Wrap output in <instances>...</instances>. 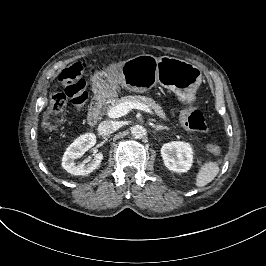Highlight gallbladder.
<instances>
[{"instance_id": "bac80fb5", "label": "gallbladder", "mask_w": 266, "mask_h": 266, "mask_svg": "<svg viewBox=\"0 0 266 266\" xmlns=\"http://www.w3.org/2000/svg\"><path fill=\"white\" fill-rule=\"evenodd\" d=\"M106 71H107L108 75H110V74H111V71H112V73H113L116 77H119V76L122 74V71H121V70H117V69L115 68L114 65H110V66L107 68Z\"/></svg>"}]
</instances>
